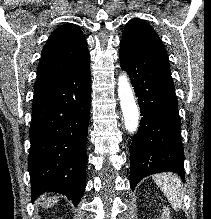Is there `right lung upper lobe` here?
I'll use <instances>...</instances> for the list:
<instances>
[{
    "mask_svg": "<svg viewBox=\"0 0 211 219\" xmlns=\"http://www.w3.org/2000/svg\"><path fill=\"white\" fill-rule=\"evenodd\" d=\"M87 62L89 52L80 28L72 23L59 27L42 50L34 92L57 83Z\"/></svg>",
    "mask_w": 211,
    "mask_h": 219,
    "instance_id": "right-lung-upper-lobe-1",
    "label": "right lung upper lobe"
}]
</instances>
